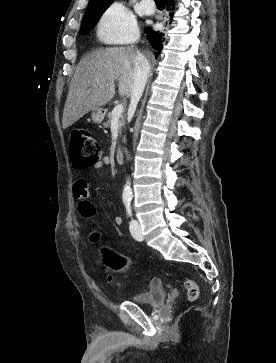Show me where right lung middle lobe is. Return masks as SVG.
Listing matches in <instances>:
<instances>
[{
    "mask_svg": "<svg viewBox=\"0 0 276 363\" xmlns=\"http://www.w3.org/2000/svg\"><path fill=\"white\" fill-rule=\"evenodd\" d=\"M109 5V3L88 5L83 16L80 33L85 35L93 29Z\"/></svg>",
    "mask_w": 276,
    "mask_h": 363,
    "instance_id": "dd1d6c3e",
    "label": "right lung middle lobe"
}]
</instances>
